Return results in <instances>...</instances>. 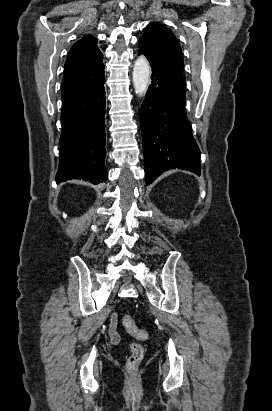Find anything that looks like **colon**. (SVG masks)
<instances>
[{"label": "colon", "instance_id": "1", "mask_svg": "<svg viewBox=\"0 0 272 411\" xmlns=\"http://www.w3.org/2000/svg\"><path fill=\"white\" fill-rule=\"evenodd\" d=\"M122 323L124 328L129 332L131 335L139 338V339H147L148 334L145 330L139 328L132 317L129 315H125L122 319ZM131 354L126 361V368L130 372H135L140 363L142 362L144 356V348L139 343H132L130 345Z\"/></svg>", "mask_w": 272, "mask_h": 411}]
</instances>
